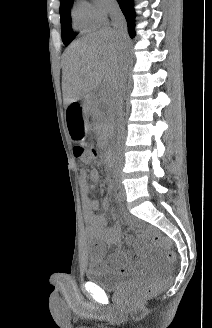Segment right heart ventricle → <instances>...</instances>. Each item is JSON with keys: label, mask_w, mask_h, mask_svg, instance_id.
<instances>
[{"label": "right heart ventricle", "mask_w": 212, "mask_h": 328, "mask_svg": "<svg viewBox=\"0 0 212 328\" xmlns=\"http://www.w3.org/2000/svg\"><path fill=\"white\" fill-rule=\"evenodd\" d=\"M72 24L78 31H87L96 26L84 3H78L72 10Z\"/></svg>", "instance_id": "right-heart-ventricle-1"}]
</instances>
